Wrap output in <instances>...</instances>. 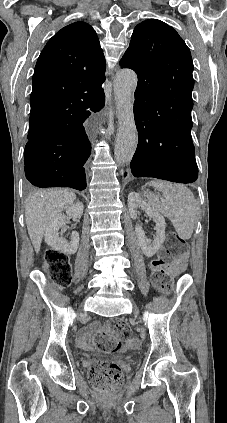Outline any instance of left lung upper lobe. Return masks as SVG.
<instances>
[{
    "instance_id": "1",
    "label": "left lung upper lobe",
    "mask_w": 227,
    "mask_h": 423,
    "mask_svg": "<svg viewBox=\"0 0 227 423\" xmlns=\"http://www.w3.org/2000/svg\"><path fill=\"white\" fill-rule=\"evenodd\" d=\"M120 66L138 75L134 107L149 111L191 112L193 62L189 48L166 23L138 24Z\"/></svg>"
}]
</instances>
